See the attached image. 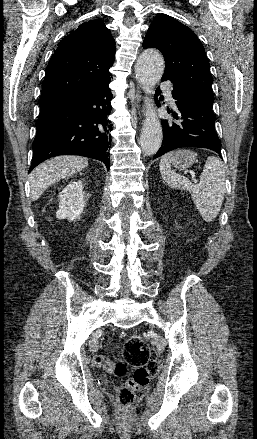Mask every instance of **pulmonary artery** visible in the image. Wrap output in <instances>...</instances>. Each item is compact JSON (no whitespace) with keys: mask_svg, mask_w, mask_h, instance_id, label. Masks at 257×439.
Instances as JSON below:
<instances>
[{"mask_svg":"<svg viewBox=\"0 0 257 439\" xmlns=\"http://www.w3.org/2000/svg\"><path fill=\"white\" fill-rule=\"evenodd\" d=\"M160 88L163 90L166 99L170 102V103H174V99L172 96V88L169 84L167 83H161L160 84Z\"/></svg>","mask_w":257,"mask_h":439,"instance_id":"pulmonary-artery-1","label":"pulmonary artery"}]
</instances>
